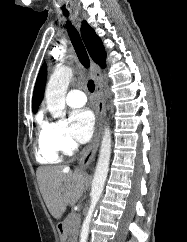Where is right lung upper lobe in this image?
Returning a JSON list of instances; mask_svg holds the SVG:
<instances>
[{
    "mask_svg": "<svg viewBox=\"0 0 187 242\" xmlns=\"http://www.w3.org/2000/svg\"><path fill=\"white\" fill-rule=\"evenodd\" d=\"M82 39L86 45V48L94 62L105 67L106 53L100 38L96 35L95 31L88 25L86 21H82L81 26ZM47 76V67L44 64L39 72L33 94V112H36L40 105L43 96Z\"/></svg>",
    "mask_w": 187,
    "mask_h": 242,
    "instance_id": "right-lung-upper-lobe-1",
    "label": "right lung upper lobe"
}]
</instances>
